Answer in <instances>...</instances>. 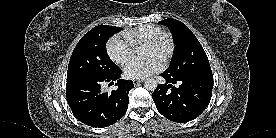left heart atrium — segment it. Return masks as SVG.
<instances>
[{"instance_id": "1", "label": "left heart atrium", "mask_w": 276, "mask_h": 138, "mask_svg": "<svg viewBox=\"0 0 276 138\" xmlns=\"http://www.w3.org/2000/svg\"><path fill=\"white\" fill-rule=\"evenodd\" d=\"M162 68V63L155 57L143 61L132 60L124 68V74L130 79H142L152 75Z\"/></svg>"}]
</instances>
